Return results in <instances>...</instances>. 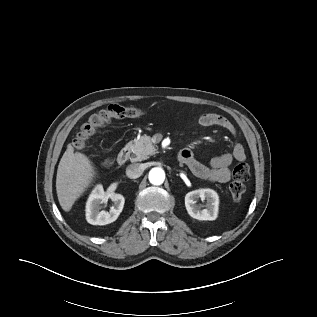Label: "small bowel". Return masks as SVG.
<instances>
[{
    "mask_svg": "<svg viewBox=\"0 0 317 317\" xmlns=\"http://www.w3.org/2000/svg\"><path fill=\"white\" fill-rule=\"evenodd\" d=\"M202 126H217L231 134L236 133L233 123L217 113H204L199 117ZM181 163L185 164L196 177L216 183H226L231 179V165L234 161L243 162L246 159L245 149L241 144H235L230 152L213 157L208 165L198 161L189 148L182 150Z\"/></svg>",
    "mask_w": 317,
    "mask_h": 317,
    "instance_id": "small-bowel-1",
    "label": "small bowel"
}]
</instances>
